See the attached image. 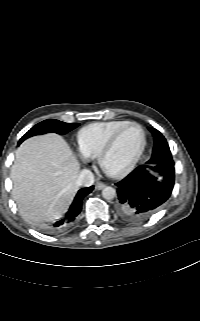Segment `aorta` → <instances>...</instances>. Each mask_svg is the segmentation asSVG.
<instances>
[{
	"label": "aorta",
	"mask_w": 200,
	"mask_h": 321,
	"mask_svg": "<svg viewBox=\"0 0 200 321\" xmlns=\"http://www.w3.org/2000/svg\"><path fill=\"white\" fill-rule=\"evenodd\" d=\"M102 196L105 200H112L116 197V190L113 187H105Z\"/></svg>",
	"instance_id": "1"
}]
</instances>
